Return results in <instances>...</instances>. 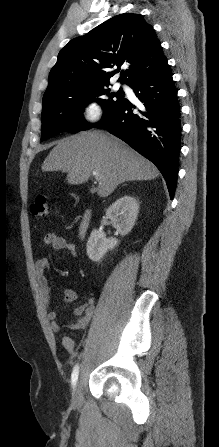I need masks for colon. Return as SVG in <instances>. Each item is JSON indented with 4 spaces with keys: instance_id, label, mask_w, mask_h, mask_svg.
Listing matches in <instances>:
<instances>
[{
    "instance_id": "colon-1",
    "label": "colon",
    "mask_w": 219,
    "mask_h": 447,
    "mask_svg": "<svg viewBox=\"0 0 219 447\" xmlns=\"http://www.w3.org/2000/svg\"><path fill=\"white\" fill-rule=\"evenodd\" d=\"M31 214L37 218H47L50 214L48 198L46 196H37L30 207Z\"/></svg>"
}]
</instances>
